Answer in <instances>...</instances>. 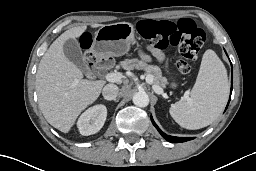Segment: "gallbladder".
Returning <instances> with one entry per match:
<instances>
[{
  "instance_id": "gallbladder-1",
  "label": "gallbladder",
  "mask_w": 256,
  "mask_h": 171,
  "mask_svg": "<svg viewBox=\"0 0 256 171\" xmlns=\"http://www.w3.org/2000/svg\"><path fill=\"white\" fill-rule=\"evenodd\" d=\"M63 51L69 61L76 65L83 72L88 71V65L84 59L82 50L75 39H68L63 44Z\"/></svg>"
}]
</instances>
